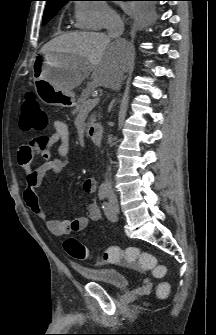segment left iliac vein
Listing matches in <instances>:
<instances>
[{"mask_svg": "<svg viewBox=\"0 0 216 335\" xmlns=\"http://www.w3.org/2000/svg\"><path fill=\"white\" fill-rule=\"evenodd\" d=\"M111 209H112V213H113V221L117 220V214L119 213V205L118 202L116 200H112L111 201Z\"/></svg>", "mask_w": 216, "mask_h": 335, "instance_id": "1", "label": "left iliac vein"}]
</instances>
